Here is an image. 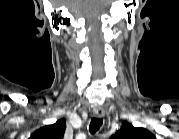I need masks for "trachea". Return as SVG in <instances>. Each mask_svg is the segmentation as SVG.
<instances>
[{
  "instance_id": "obj_1",
  "label": "trachea",
  "mask_w": 179,
  "mask_h": 139,
  "mask_svg": "<svg viewBox=\"0 0 179 139\" xmlns=\"http://www.w3.org/2000/svg\"><path fill=\"white\" fill-rule=\"evenodd\" d=\"M102 123H103V120L101 118H92L90 125H89L90 133L91 134L96 133L100 129Z\"/></svg>"
}]
</instances>
